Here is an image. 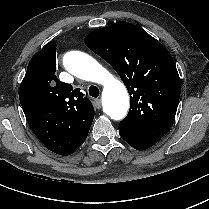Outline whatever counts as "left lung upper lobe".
<instances>
[{
  "label": "left lung upper lobe",
  "instance_id": "left-lung-upper-lobe-1",
  "mask_svg": "<svg viewBox=\"0 0 209 209\" xmlns=\"http://www.w3.org/2000/svg\"><path fill=\"white\" fill-rule=\"evenodd\" d=\"M84 41L115 69L129 92L130 110L119 127L157 143L174 121L181 91L171 54L128 22L95 30Z\"/></svg>",
  "mask_w": 209,
  "mask_h": 209
}]
</instances>
